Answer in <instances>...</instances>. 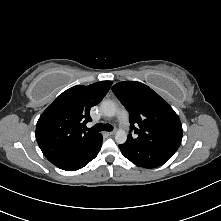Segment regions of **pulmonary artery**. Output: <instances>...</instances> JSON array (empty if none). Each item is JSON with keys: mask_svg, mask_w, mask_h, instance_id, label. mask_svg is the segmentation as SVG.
I'll return each instance as SVG.
<instances>
[{"mask_svg": "<svg viewBox=\"0 0 221 221\" xmlns=\"http://www.w3.org/2000/svg\"><path fill=\"white\" fill-rule=\"evenodd\" d=\"M118 118L120 123L126 128H129L128 112L125 109H120L118 112Z\"/></svg>", "mask_w": 221, "mask_h": 221, "instance_id": "pulmonary-artery-1", "label": "pulmonary artery"}]
</instances>
